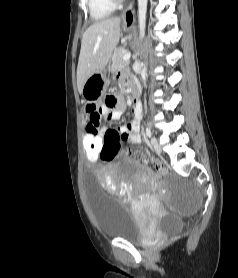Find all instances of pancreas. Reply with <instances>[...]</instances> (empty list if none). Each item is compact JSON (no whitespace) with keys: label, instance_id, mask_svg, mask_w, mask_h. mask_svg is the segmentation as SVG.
Masks as SVG:
<instances>
[{"label":"pancreas","instance_id":"pancreas-1","mask_svg":"<svg viewBox=\"0 0 238 278\" xmlns=\"http://www.w3.org/2000/svg\"><path fill=\"white\" fill-rule=\"evenodd\" d=\"M125 55V50L123 47L116 49L112 56V64L111 71L117 72L119 71L127 62L123 60V56Z\"/></svg>","mask_w":238,"mask_h":278}]
</instances>
